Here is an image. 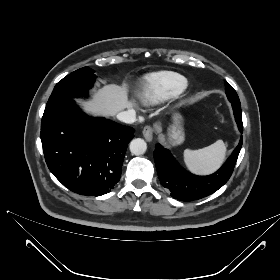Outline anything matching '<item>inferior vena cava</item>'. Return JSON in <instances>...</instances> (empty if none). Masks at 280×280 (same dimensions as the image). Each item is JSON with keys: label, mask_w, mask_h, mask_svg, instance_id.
Returning <instances> with one entry per match:
<instances>
[{"label": "inferior vena cava", "mask_w": 280, "mask_h": 280, "mask_svg": "<svg viewBox=\"0 0 280 280\" xmlns=\"http://www.w3.org/2000/svg\"><path fill=\"white\" fill-rule=\"evenodd\" d=\"M117 119L128 124L136 121V113L134 110L121 111L117 114Z\"/></svg>", "instance_id": "1"}]
</instances>
